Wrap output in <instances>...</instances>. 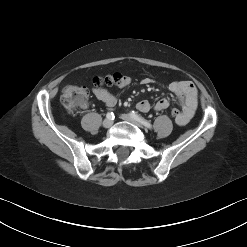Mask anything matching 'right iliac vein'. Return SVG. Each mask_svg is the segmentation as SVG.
I'll return each instance as SVG.
<instances>
[{"label": "right iliac vein", "instance_id": "right-iliac-vein-1", "mask_svg": "<svg viewBox=\"0 0 247 247\" xmlns=\"http://www.w3.org/2000/svg\"><path fill=\"white\" fill-rule=\"evenodd\" d=\"M113 125V121L111 119H105L103 121V127L110 128Z\"/></svg>", "mask_w": 247, "mask_h": 247}]
</instances>
